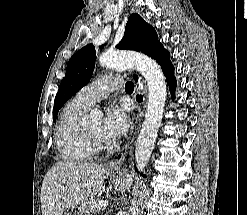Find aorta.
Returning <instances> with one entry per match:
<instances>
[{"label": "aorta", "instance_id": "762f6f07", "mask_svg": "<svg viewBox=\"0 0 247 215\" xmlns=\"http://www.w3.org/2000/svg\"><path fill=\"white\" fill-rule=\"evenodd\" d=\"M102 66L117 69H135L142 74L148 86L149 96L142 128L135 148V163L139 172H143L151 157L159 127L164 113L167 97L166 82L160 66L152 58L134 52H105L99 57ZM101 111L94 109L89 115V122L100 120ZM130 215H139L140 209L136 200L129 211Z\"/></svg>", "mask_w": 247, "mask_h": 215}]
</instances>
